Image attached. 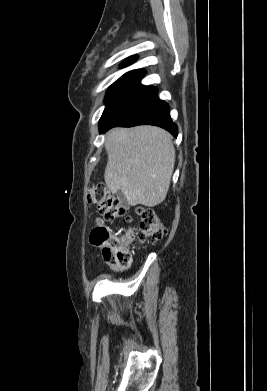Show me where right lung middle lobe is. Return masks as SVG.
<instances>
[{"mask_svg":"<svg viewBox=\"0 0 267 391\" xmlns=\"http://www.w3.org/2000/svg\"><path fill=\"white\" fill-rule=\"evenodd\" d=\"M142 77L122 76L109 88L105 102L106 108L100 118L99 126L105 123L130 98L145 86L140 84Z\"/></svg>","mask_w":267,"mask_h":391,"instance_id":"obj_1","label":"right lung middle lobe"}]
</instances>
